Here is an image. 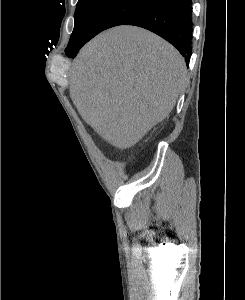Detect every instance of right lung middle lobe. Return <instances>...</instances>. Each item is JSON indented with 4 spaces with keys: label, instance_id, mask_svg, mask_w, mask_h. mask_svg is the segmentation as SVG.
Instances as JSON below:
<instances>
[{
    "label": "right lung middle lobe",
    "instance_id": "dd1d6c3e",
    "mask_svg": "<svg viewBox=\"0 0 245 300\" xmlns=\"http://www.w3.org/2000/svg\"><path fill=\"white\" fill-rule=\"evenodd\" d=\"M158 0H79L67 49L85 44L101 31L122 25Z\"/></svg>",
    "mask_w": 245,
    "mask_h": 300
}]
</instances>
